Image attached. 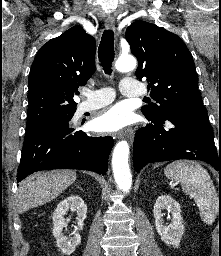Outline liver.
I'll return each instance as SVG.
<instances>
[{"label": "liver", "instance_id": "liver-1", "mask_svg": "<svg viewBox=\"0 0 221 256\" xmlns=\"http://www.w3.org/2000/svg\"><path fill=\"white\" fill-rule=\"evenodd\" d=\"M76 180L72 170H52L35 173L23 180L17 191V210H27L55 199Z\"/></svg>", "mask_w": 221, "mask_h": 256}]
</instances>
